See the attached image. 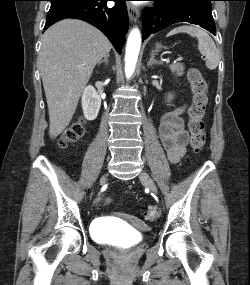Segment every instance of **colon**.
<instances>
[{
    "instance_id": "5ec220e1",
    "label": "colon",
    "mask_w": 250,
    "mask_h": 285,
    "mask_svg": "<svg viewBox=\"0 0 250 285\" xmlns=\"http://www.w3.org/2000/svg\"><path fill=\"white\" fill-rule=\"evenodd\" d=\"M188 81L192 89V103L189 108V130L190 147L198 153L202 150L206 141L205 125L203 117L208 104V83L198 69L188 71ZM85 135V126L83 121H77L68 127L63 133L59 144L66 146L80 140ZM158 211L150 208L145 212V219L149 222L156 220Z\"/></svg>"
}]
</instances>
